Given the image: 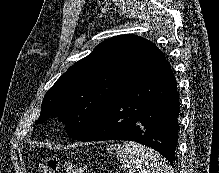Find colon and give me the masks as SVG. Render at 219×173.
Instances as JSON below:
<instances>
[{"mask_svg": "<svg viewBox=\"0 0 219 173\" xmlns=\"http://www.w3.org/2000/svg\"><path fill=\"white\" fill-rule=\"evenodd\" d=\"M36 173H93L87 167H80L59 158L41 160Z\"/></svg>", "mask_w": 219, "mask_h": 173, "instance_id": "5ec220e1", "label": "colon"}]
</instances>
